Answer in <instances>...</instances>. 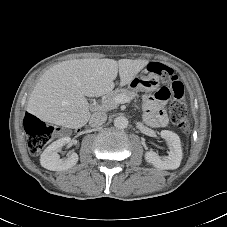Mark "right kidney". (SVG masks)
Returning <instances> with one entry per match:
<instances>
[{"mask_svg":"<svg viewBox=\"0 0 227 227\" xmlns=\"http://www.w3.org/2000/svg\"><path fill=\"white\" fill-rule=\"evenodd\" d=\"M70 143L71 138L68 136L51 143L41 154V166L52 171L67 170L74 166L78 161L77 153H72L70 156L63 159H61L58 154L60 148Z\"/></svg>","mask_w":227,"mask_h":227,"instance_id":"right-kidney-1","label":"right kidney"}]
</instances>
